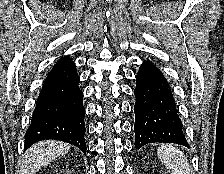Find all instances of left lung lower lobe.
<instances>
[{
  "instance_id": "obj_1",
  "label": "left lung lower lobe",
  "mask_w": 224,
  "mask_h": 174,
  "mask_svg": "<svg viewBox=\"0 0 224 174\" xmlns=\"http://www.w3.org/2000/svg\"><path fill=\"white\" fill-rule=\"evenodd\" d=\"M134 94L136 149L155 142L189 146L170 85L150 61H144L139 68Z\"/></svg>"
}]
</instances>
